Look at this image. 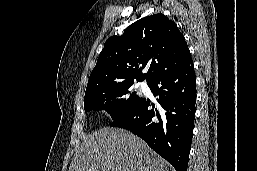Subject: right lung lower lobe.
Instances as JSON below:
<instances>
[{
    "mask_svg": "<svg viewBox=\"0 0 257 171\" xmlns=\"http://www.w3.org/2000/svg\"><path fill=\"white\" fill-rule=\"evenodd\" d=\"M158 108L140 97L110 126L130 130L165 158L176 171H187L196 102V75L191 59L185 65L161 73L148 82Z\"/></svg>",
    "mask_w": 257,
    "mask_h": 171,
    "instance_id": "right-lung-lower-lobe-1",
    "label": "right lung lower lobe"
}]
</instances>
